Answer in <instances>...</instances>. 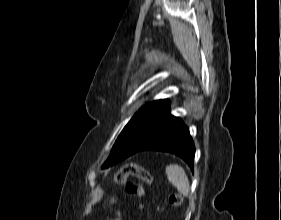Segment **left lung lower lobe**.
<instances>
[{"label":"left lung lower lobe","mask_w":281,"mask_h":220,"mask_svg":"<svg viewBox=\"0 0 281 220\" xmlns=\"http://www.w3.org/2000/svg\"><path fill=\"white\" fill-rule=\"evenodd\" d=\"M145 150L175 154L182 158L193 171L195 147L189 129L180 118L170 115L169 112L151 139L139 151Z\"/></svg>","instance_id":"left-lung-lower-lobe-1"}]
</instances>
